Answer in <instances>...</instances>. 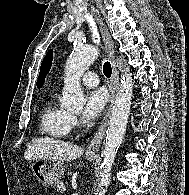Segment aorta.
Returning <instances> with one entry per match:
<instances>
[{"label":"aorta","mask_w":189,"mask_h":195,"mask_svg":"<svg viewBox=\"0 0 189 195\" xmlns=\"http://www.w3.org/2000/svg\"><path fill=\"white\" fill-rule=\"evenodd\" d=\"M99 50L87 45H76L65 65V79L63 98L61 104L64 108L81 111L86 98L80 85V79L86 69L94 62ZM119 68L122 70L121 86L117 93L108 128L104 147L102 150L103 161L100 166L99 195L105 193V188L110 181L111 169L116 154L122 143L126 131L133 96V79L130 70L118 59Z\"/></svg>","instance_id":"1"}]
</instances>
